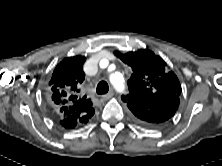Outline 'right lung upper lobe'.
Wrapping results in <instances>:
<instances>
[{"instance_id":"cb5924a9","label":"right lung upper lobe","mask_w":222,"mask_h":166,"mask_svg":"<svg viewBox=\"0 0 222 166\" xmlns=\"http://www.w3.org/2000/svg\"><path fill=\"white\" fill-rule=\"evenodd\" d=\"M85 60L80 55L63 59L55 67L47 85L46 97L51 109L60 119L86 123L94 114L90 99L78 95V88L85 78Z\"/></svg>"}]
</instances>
